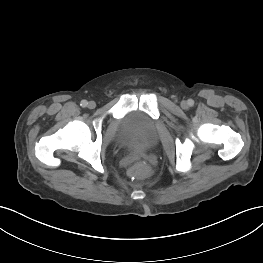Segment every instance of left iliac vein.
Here are the masks:
<instances>
[{
	"label": "left iliac vein",
	"mask_w": 263,
	"mask_h": 263,
	"mask_svg": "<svg viewBox=\"0 0 263 263\" xmlns=\"http://www.w3.org/2000/svg\"><path fill=\"white\" fill-rule=\"evenodd\" d=\"M187 103L186 102H182V107H186Z\"/></svg>",
	"instance_id": "left-iliac-vein-1"
}]
</instances>
